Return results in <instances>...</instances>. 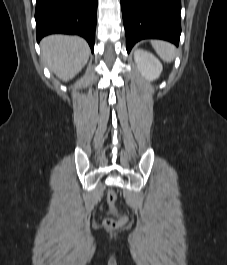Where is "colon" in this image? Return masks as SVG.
<instances>
[{"label": "colon", "instance_id": "obj_1", "mask_svg": "<svg viewBox=\"0 0 227 265\" xmlns=\"http://www.w3.org/2000/svg\"><path fill=\"white\" fill-rule=\"evenodd\" d=\"M117 194L110 189L107 194V206L109 210L115 214L116 218H107L103 221V226L108 231H114L122 227L126 222V216L116 206Z\"/></svg>", "mask_w": 227, "mask_h": 265}]
</instances>
